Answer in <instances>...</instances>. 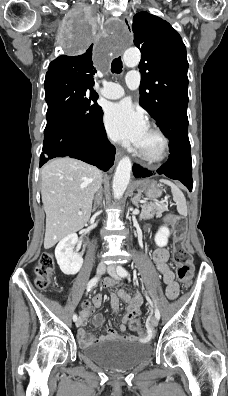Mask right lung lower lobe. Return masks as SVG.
<instances>
[{"mask_svg":"<svg viewBox=\"0 0 228 396\" xmlns=\"http://www.w3.org/2000/svg\"><path fill=\"white\" fill-rule=\"evenodd\" d=\"M101 110L95 122L58 120L46 125L40 167L55 157H71L107 171L114 162L115 148L105 133Z\"/></svg>","mask_w":228,"mask_h":396,"instance_id":"1","label":"right lung lower lobe"}]
</instances>
